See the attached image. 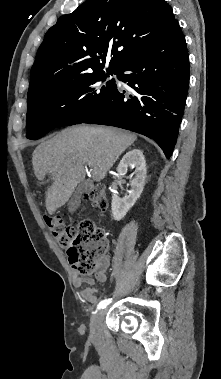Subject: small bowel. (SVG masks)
Masks as SVG:
<instances>
[{
	"mask_svg": "<svg viewBox=\"0 0 221 379\" xmlns=\"http://www.w3.org/2000/svg\"><path fill=\"white\" fill-rule=\"evenodd\" d=\"M110 265L109 256H105L98 263V267L95 274V279L85 278L78 274H74L73 283L77 288H82L80 294L83 299H85L90 304H95L98 301V296L96 294V281L106 282L107 276L106 271Z\"/></svg>",
	"mask_w": 221,
	"mask_h": 379,
	"instance_id": "small-bowel-1",
	"label": "small bowel"
}]
</instances>
